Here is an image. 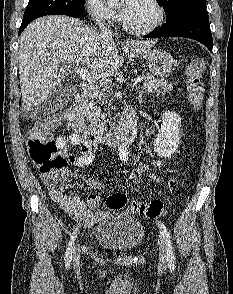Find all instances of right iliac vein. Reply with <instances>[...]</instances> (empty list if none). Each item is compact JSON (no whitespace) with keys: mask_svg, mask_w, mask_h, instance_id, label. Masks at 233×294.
Returning a JSON list of instances; mask_svg holds the SVG:
<instances>
[{"mask_svg":"<svg viewBox=\"0 0 233 294\" xmlns=\"http://www.w3.org/2000/svg\"><path fill=\"white\" fill-rule=\"evenodd\" d=\"M80 252H81L80 244H77V246L75 247V249L73 251V266L74 267H78V265H79Z\"/></svg>","mask_w":233,"mask_h":294,"instance_id":"obj_1","label":"right iliac vein"}]
</instances>
